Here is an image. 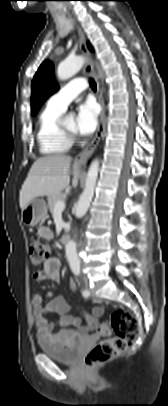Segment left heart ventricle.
I'll use <instances>...</instances> for the list:
<instances>
[{
  "instance_id": "left-heart-ventricle-1",
  "label": "left heart ventricle",
  "mask_w": 168,
  "mask_h": 406,
  "mask_svg": "<svg viewBox=\"0 0 168 406\" xmlns=\"http://www.w3.org/2000/svg\"><path fill=\"white\" fill-rule=\"evenodd\" d=\"M64 127H65L67 130L75 131V119H74V118L68 119V120L64 123Z\"/></svg>"
}]
</instances>
